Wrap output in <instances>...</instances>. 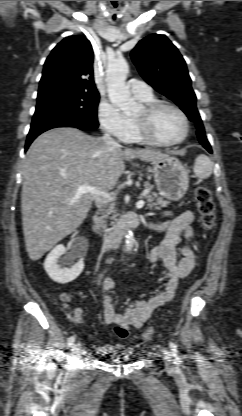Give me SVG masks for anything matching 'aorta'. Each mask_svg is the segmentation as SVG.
I'll return each instance as SVG.
<instances>
[{
	"label": "aorta",
	"mask_w": 242,
	"mask_h": 416,
	"mask_svg": "<svg viewBox=\"0 0 242 416\" xmlns=\"http://www.w3.org/2000/svg\"><path fill=\"white\" fill-rule=\"evenodd\" d=\"M129 72V66L124 58H117L108 63L106 82L108 97L114 105L125 114L131 115L137 110L136 102L131 98L129 87L125 80ZM133 233L128 231L125 235V249L130 252L134 247Z\"/></svg>",
	"instance_id": "obj_1"
}]
</instances>
